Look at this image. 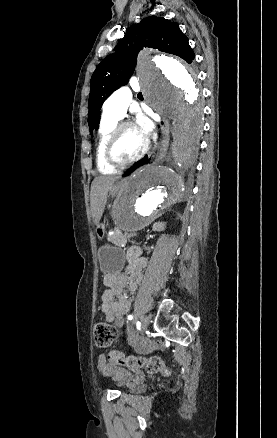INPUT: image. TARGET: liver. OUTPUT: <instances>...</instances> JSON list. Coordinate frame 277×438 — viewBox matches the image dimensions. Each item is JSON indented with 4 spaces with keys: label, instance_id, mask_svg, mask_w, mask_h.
Masks as SVG:
<instances>
[{
    "label": "liver",
    "instance_id": "6515ba94",
    "mask_svg": "<svg viewBox=\"0 0 277 438\" xmlns=\"http://www.w3.org/2000/svg\"><path fill=\"white\" fill-rule=\"evenodd\" d=\"M116 176H100L95 178L91 186V210L94 224H99L107 202V192L111 190Z\"/></svg>",
    "mask_w": 277,
    "mask_h": 438
}]
</instances>
